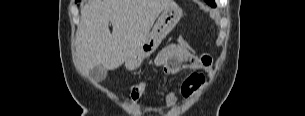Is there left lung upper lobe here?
I'll return each mask as SVG.
<instances>
[{
	"label": "left lung upper lobe",
	"mask_w": 305,
	"mask_h": 116,
	"mask_svg": "<svg viewBox=\"0 0 305 116\" xmlns=\"http://www.w3.org/2000/svg\"><path fill=\"white\" fill-rule=\"evenodd\" d=\"M207 2H208V3H211V2H212V0H207Z\"/></svg>",
	"instance_id": "1"
}]
</instances>
